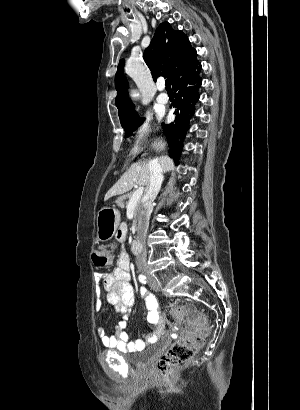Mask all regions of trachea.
<instances>
[{
  "label": "trachea",
  "mask_w": 300,
  "mask_h": 410,
  "mask_svg": "<svg viewBox=\"0 0 300 410\" xmlns=\"http://www.w3.org/2000/svg\"><path fill=\"white\" fill-rule=\"evenodd\" d=\"M165 88H166L167 91H171V90H172V89H171V86H170L169 80H166V81H165Z\"/></svg>",
  "instance_id": "trachea-1"
}]
</instances>
